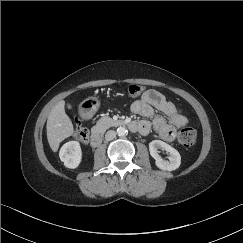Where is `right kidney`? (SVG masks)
<instances>
[{
	"label": "right kidney",
	"instance_id": "1",
	"mask_svg": "<svg viewBox=\"0 0 243 243\" xmlns=\"http://www.w3.org/2000/svg\"><path fill=\"white\" fill-rule=\"evenodd\" d=\"M59 157L61 161L64 162L65 167L70 169L77 168L82 161L80 143L77 141L65 143L60 149Z\"/></svg>",
	"mask_w": 243,
	"mask_h": 243
}]
</instances>
